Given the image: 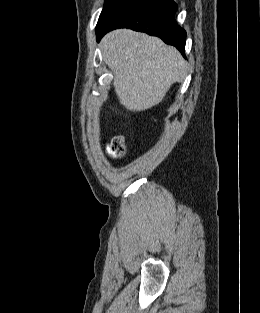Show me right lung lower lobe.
<instances>
[{
  "mask_svg": "<svg viewBox=\"0 0 260 313\" xmlns=\"http://www.w3.org/2000/svg\"><path fill=\"white\" fill-rule=\"evenodd\" d=\"M177 5L172 0H119L97 23L99 41L116 28H130L160 37L185 54L186 32L174 20Z\"/></svg>",
  "mask_w": 260,
  "mask_h": 313,
  "instance_id": "obj_1",
  "label": "right lung lower lobe"
}]
</instances>
